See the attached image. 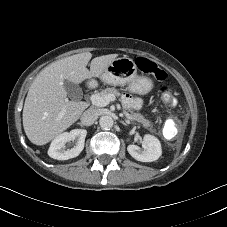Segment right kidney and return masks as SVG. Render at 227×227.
Returning a JSON list of instances; mask_svg holds the SVG:
<instances>
[{
    "label": "right kidney",
    "instance_id": "right-kidney-1",
    "mask_svg": "<svg viewBox=\"0 0 227 227\" xmlns=\"http://www.w3.org/2000/svg\"><path fill=\"white\" fill-rule=\"evenodd\" d=\"M87 131L84 129H74L70 132H64L51 142L48 155L57 160H68L77 157L84 149L85 137ZM70 141H76L71 149H66L65 144Z\"/></svg>",
    "mask_w": 227,
    "mask_h": 227
}]
</instances>
